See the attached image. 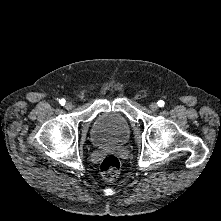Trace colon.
Masks as SVG:
<instances>
[{
  "mask_svg": "<svg viewBox=\"0 0 221 221\" xmlns=\"http://www.w3.org/2000/svg\"><path fill=\"white\" fill-rule=\"evenodd\" d=\"M101 175L105 180H115L120 171V161L114 155L105 156L100 164Z\"/></svg>",
  "mask_w": 221,
  "mask_h": 221,
  "instance_id": "1",
  "label": "colon"
}]
</instances>
